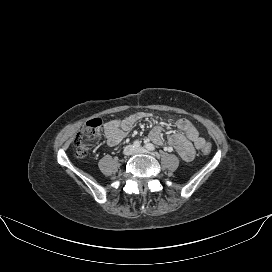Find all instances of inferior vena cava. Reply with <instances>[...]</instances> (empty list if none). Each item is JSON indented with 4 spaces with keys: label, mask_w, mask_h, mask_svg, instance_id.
<instances>
[{
    "label": "inferior vena cava",
    "mask_w": 272,
    "mask_h": 272,
    "mask_svg": "<svg viewBox=\"0 0 272 272\" xmlns=\"http://www.w3.org/2000/svg\"><path fill=\"white\" fill-rule=\"evenodd\" d=\"M124 153H125V154H129V152H127V151H124Z\"/></svg>",
    "instance_id": "obj_1"
}]
</instances>
